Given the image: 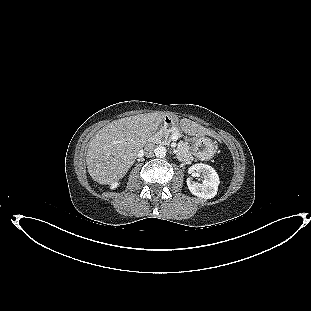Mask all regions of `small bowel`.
<instances>
[{
  "instance_id": "1",
  "label": "small bowel",
  "mask_w": 311,
  "mask_h": 311,
  "mask_svg": "<svg viewBox=\"0 0 311 311\" xmlns=\"http://www.w3.org/2000/svg\"><path fill=\"white\" fill-rule=\"evenodd\" d=\"M182 152L185 153V150L182 148Z\"/></svg>"
}]
</instances>
